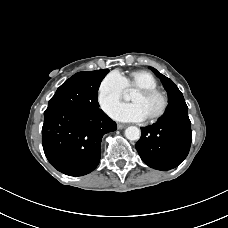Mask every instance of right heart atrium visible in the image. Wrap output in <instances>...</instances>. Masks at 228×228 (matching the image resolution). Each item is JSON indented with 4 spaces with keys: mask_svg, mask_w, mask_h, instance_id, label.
<instances>
[{
    "mask_svg": "<svg viewBox=\"0 0 228 228\" xmlns=\"http://www.w3.org/2000/svg\"><path fill=\"white\" fill-rule=\"evenodd\" d=\"M124 85L120 75L116 72L107 74L97 88V102L103 112H108L124 94Z\"/></svg>",
    "mask_w": 228,
    "mask_h": 228,
    "instance_id": "obj_1",
    "label": "right heart atrium"
}]
</instances>
